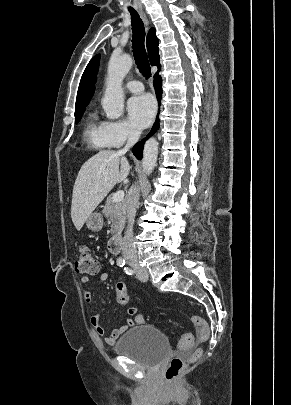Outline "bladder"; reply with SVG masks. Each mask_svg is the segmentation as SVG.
Masks as SVG:
<instances>
[{
    "mask_svg": "<svg viewBox=\"0 0 291 405\" xmlns=\"http://www.w3.org/2000/svg\"><path fill=\"white\" fill-rule=\"evenodd\" d=\"M114 351L144 368L155 369L168 356L170 346L161 330L152 325H141L127 331L116 342Z\"/></svg>",
    "mask_w": 291,
    "mask_h": 405,
    "instance_id": "31cf9c89",
    "label": "bladder"
}]
</instances>
